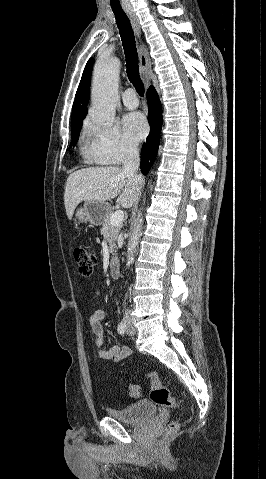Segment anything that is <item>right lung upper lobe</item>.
<instances>
[{
    "mask_svg": "<svg viewBox=\"0 0 266 479\" xmlns=\"http://www.w3.org/2000/svg\"><path fill=\"white\" fill-rule=\"evenodd\" d=\"M93 58L87 62L83 75L78 86L75 101L72 107V122L83 120L87 113V103L90 93V79L92 72Z\"/></svg>",
    "mask_w": 266,
    "mask_h": 479,
    "instance_id": "cb5924a9",
    "label": "right lung upper lobe"
}]
</instances>
